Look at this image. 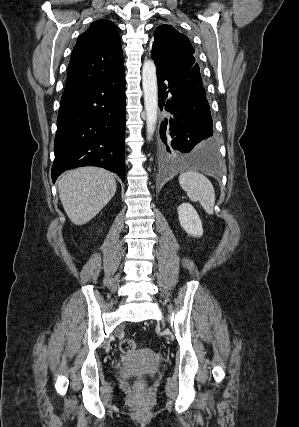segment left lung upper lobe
Segmentation results:
<instances>
[{"instance_id":"5c2ea615","label":"left lung upper lobe","mask_w":299,"mask_h":427,"mask_svg":"<svg viewBox=\"0 0 299 427\" xmlns=\"http://www.w3.org/2000/svg\"><path fill=\"white\" fill-rule=\"evenodd\" d=\"M151 53L161 56H173L179 53L193 55L195 50L188 37L178 32L173 26L160 25L154 31V42ZM188 77L195 84L203 86L199 65L195 63V59L189 70Z\"/></svg>"}]
</instances>
